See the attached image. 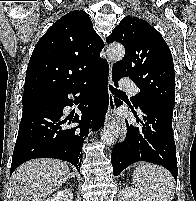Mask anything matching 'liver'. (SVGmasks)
Returning a JSON list of instances; mask_svg holds the SVG:
<instances>
[{
  "label": "liver",
  "instance_id": "1",
  "mask_svg": "<svg viewBox=\"0 0 196 201\" xmlns=\"http://www.w3.org/2000/svg\"><path fill=\"white\" fill-rule=\"evenodd\" d=\"M69 175L68 165L60 160L40 158L27 161L12 174L13 201H46Z\"/></svg>",
  "mask_w": 196,
  "mask_h": 201
}]
</instances>
